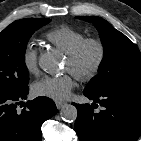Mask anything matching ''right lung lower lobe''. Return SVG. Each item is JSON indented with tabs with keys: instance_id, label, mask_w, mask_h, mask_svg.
I'll use <instances>...</instances> for the list:
<instances>
[{
	"instance_id": "98d812e1",
	"label": "right lung lower lobe",
	"mask_w": 141,
	"mask_h": 141,
	"mask_svg": "<svg viewBox=\"0 0 141 141\" xmlns=\"http://www.w3.org/2000/svg\"><path fill=\"white\" fill-rule=\"evenodd\" d=\"M28 93V88L0 93V141H41V126L56 114L57 108L50 98L37 97L20 112L17 106L27 99Z\"/></svg>"
}]
</instances>
